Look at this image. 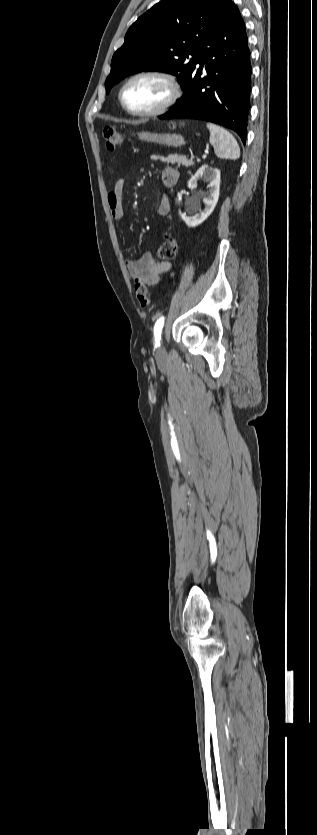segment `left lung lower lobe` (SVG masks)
Returning a JSON list of instances; mask_svg holds the SVG:
<instances>
[{
    "label": "left lung lower lobe",
    "mask_w": 317,
    "mask_h": 835,
    "mask_svg": "<svg viewBox=\"0 0 317 835\" xmlns=\"http://www.w3.org/2000/svg\"><path fill=\"white\" fill-rule=\"evenodd\" d=\"M250 89V50L245 24L239 9L231 2L202 45L182 98L159 118L210 121L232 129L245 144Z\"/></svg>",
    "instance_id": "1"
}]
</instances>
